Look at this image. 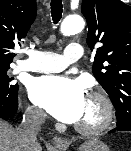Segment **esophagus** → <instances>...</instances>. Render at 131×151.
Returning <instances> with one entry per match:
<instances>
[{
  "instance_id": "1",
  "label": "esophagus",
  "mask_w": 131,
  "mask_h": 151,
  "mask_svg": "<svg viewBox=\"0 0 131 151\" xmlns=\"http://www.w3.org/2000/svg\"><path fill=\"white\" fill-rule=\"evenodd\" d=\"M52 143L61 149H66L68 147V141L58 136L52 138Z\"/></svg>"
}]
</instances>
